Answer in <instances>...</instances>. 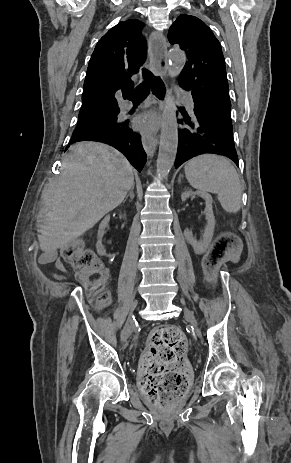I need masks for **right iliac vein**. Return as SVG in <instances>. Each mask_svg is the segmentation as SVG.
Instances as JSON below:
<instances>
[{"instance_id": "1", "label": "right iliac vein", "mask_w": 291, "mask_h": 463, "mask_svg": "<svg viewBox=\"0 0 291 463\" xmlns=\"http://www.w3.org/2000/svg\"><path fill=\"white\" fill-rule=\"evenodd\" d=\"M137 306V300H135L132 305H131V308H130V312H129V315H128V318H127V321H126V324L122 330V333H121V341L122 343H125L127 341V339L129 338L130 334H131V329H132V323H133V320H132V314L135 310Z\"/></svg>"}]
</instances>
